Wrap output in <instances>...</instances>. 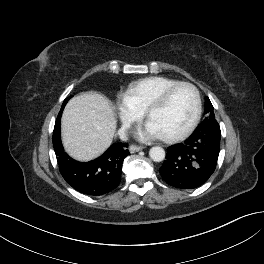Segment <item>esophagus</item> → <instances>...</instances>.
<instances>
[{"label":"esophagus","instance_id":"34e87169","mask_svg":"<svg viewBox=\"0 0 264 264\" xmlns=\"http://www.w3.org/2000/svg\"><path fill=\"white\" fill-rule=\"evenodd\" d=\"M142 149H143V147L137 146V145H130V147H129V150H130L131 153L139 152Z\"/></svg>","mask_w":264,"mask_h":264}]
</instances>
